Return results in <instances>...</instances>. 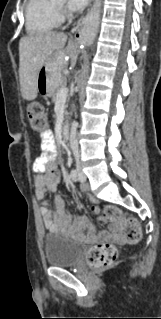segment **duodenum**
Masks as SVG:
<instances>
[{
	"label": "duodenum",
	"instance_id": "obj_1",
	"mask_svg": "<svg viewBox=\"0 0 161 319\" xmlns=\"http://www.w3.org/2000/svg\"><path fill=\"white\" fill-rule=\"evenodd\" d=\"M68 135H69V125L65 123L61 126V129H60L61 139L63 141H66L68 139Z\"/></svg>",
	"mask_w": 161,
	"mask_h": 319
}]
</instances>
